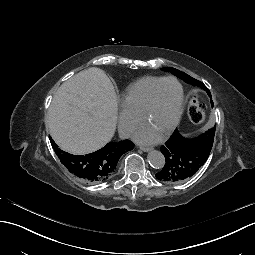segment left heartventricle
Returning <instances> with one entry per match:
<instances>
[{"label":"left heart ventricle","mask_w":255,"mask_h":255,"mask_svg":"<svg viewBox=\"0 0 255 255\" xmlns=\"http://www.w3.org/2000/svg\"><path fill=\"white\" fill-rule=\"evenodd\" d=\"M179 95V87L176 83L163 84L157 93L153 110L142 123L143 127L163 136L176 116Z\"/></svg>","instance_id":"b2bd125f"}]
</instances>
